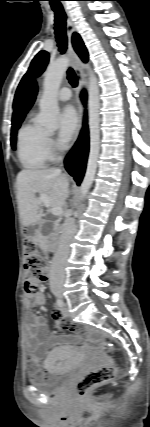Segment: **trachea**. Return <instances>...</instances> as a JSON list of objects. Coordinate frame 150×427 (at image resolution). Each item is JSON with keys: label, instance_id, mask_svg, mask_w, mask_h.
I'll list each match as a JSON object with an SVG mask.
<instances>
[{"label": "trachea", "instance_id": "3493384b", "mask_svg": "<svg viewBox=\"0 0 150 427\" xmlns=\"http://www.w3.org/2000/svg\"><path fill=\"white\" fill-rule=\"evenodd\" d=\"M51 8L55 13V35L56 41L59 47L61 54H64L67 49V36H66V13L63 9V6L58 2H52ZM67 78L69 83L76 87L78 80L76 74L72 68H69L67 71Z\"/></svg>", "mask_w": 150, "mask_h": 427}]
</instances>
